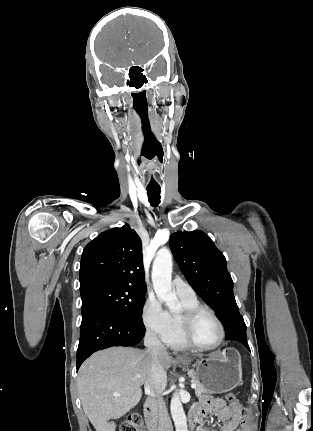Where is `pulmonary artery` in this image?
Segmentation results:
<instances>
[{
	"label": "pulmonary artery",
	"instance_id": "pulmonary-artery-1",
	"mask_svg": "<svg viewBox=\"0 0 313 431\" xmlns=\"http://www.w3.org/2000/svg\"><path fill=\"white\" fill-rule=\"evenodd\" d=\"M173 289L179 296L193 297L195 292L193 288L182 278L175 277L172 282Z\"/></svg>",
	"mask_w": 313,
	"mask_h": 431
}]
</instances>
